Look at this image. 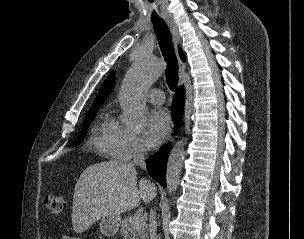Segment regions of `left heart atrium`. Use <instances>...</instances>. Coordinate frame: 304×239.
<instances>
[{
	"label": "left heart atrium",
	"mask_w": 304,
	"mask_h": 239,
	"mask_svg": "<svg viewBox=\"0 0 304 239\" xmlns=\"http://www.w3.org/2000/svg\"><path fill=\"white\" fill-rule=\"evenodd\" d=\"M170 127V118L166 110L157 109L153 111L145 129V143L148 147H156L162 142Z\"/></svg>",
	"instance_id": "left-heart-atrium-1"
}]
</instances>
